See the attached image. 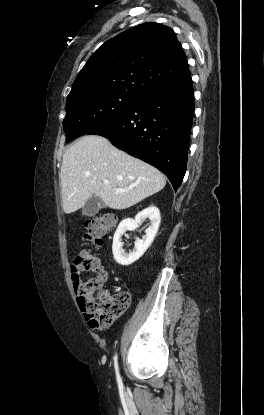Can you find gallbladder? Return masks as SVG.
Returning <instances> with one entry per match:
<instances>
[{
    "label": "gallbladder",
    "instance_id": "gallbladder-1",
    "mask_svg": "<svg viewBox=\"0 0 264 415\" xmlns=\"http://www.w3.org/2000/svg\"><path fill=\"white\" fill-rule=\"evenodd\" d=\"M105 205L103 203V201L97 197V196H92L83 206L82 208V214L85 216H94L95 214L98 213V211L101 208H104Z\"/></svg>",
    "mask_w": 264,
    "mask_h": 415
}]
</instances>
